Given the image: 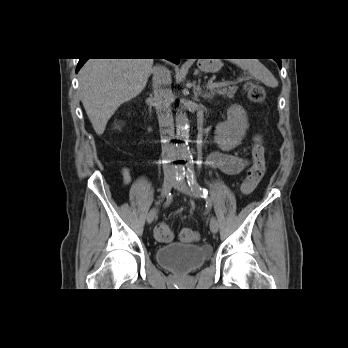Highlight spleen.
<instances>
[{
  "label": "spleen",
  "mask_w": 348,
  "mask_h": 348,
  "mask_svg": "<svg viewBox=\"0 0 348 348\" xmlns=\"http://www.w3.org/2000/svg\"><path fill=\"white\" fill-rule=\"evenodd\" d=\"M232 63L248 71L250 75L264 85L272 88L278 86L276 78L258 59H233Z\"/></svg>",
  "instance_id": "1"
}]
</instances>
